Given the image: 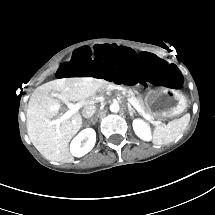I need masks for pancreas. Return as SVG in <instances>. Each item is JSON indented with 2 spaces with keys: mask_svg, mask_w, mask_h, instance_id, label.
Here are the masks:
<instances>
[{
  "mask_svg": "<svg viewBox=\"0 0 215 215\" xmlns=\"http://www.w3.org/2000/svg\"><path fill=\"white\" fill-rule=\"evenodd\" d=\"M113 90H115V89L107 87L105 90L102 91V93L103 92H110V91H113ZM120 92H122V93L125 92L127 94L128 98H131V99L135 100V102L139 105L141 111H143L145 115H149V117H150L149 120L150 121L154 120V116H152L149 113V111H147V109L145 107V104H144V101H143L142 98L136 96L133 92L132 93H128V89H126V88H123Z\"/></svg>",
  "mask_w": 215,
  "mask_h": 215,
  "instance_id": "1",
  "label": "pancreas"
}]
</instances>
